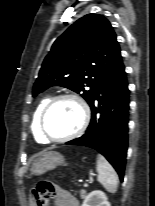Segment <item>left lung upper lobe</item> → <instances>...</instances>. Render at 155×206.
I'll return each mask as SVG.
<instances>
[{"label": "left lung upper lobe", "instance_id": "left-lung-upper-lobe-1", "mask_svg": "<svg viewBox=\"0 0 155 206\" xmlns=\"http://www.w3.org/2000/svg\"><path fill=\"white\" fill-rule=\"evenodd\" d=\"M110 22L87 14L72 24L52 45L33 86V96L50 86L80 93L90 104L102 81L121 58Z\"/></svg>", "mask_w": 155, "mask_h": 206}]
</instances>
